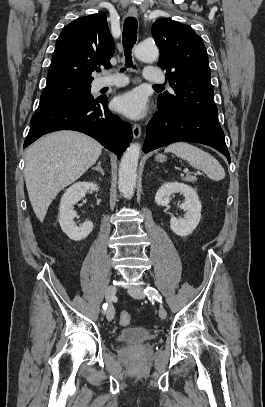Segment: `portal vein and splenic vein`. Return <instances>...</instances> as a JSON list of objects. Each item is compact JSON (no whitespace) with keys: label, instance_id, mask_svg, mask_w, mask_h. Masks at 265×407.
<instances>
[{"label":"portal vein and splenic vein","instance_id":"portal-vein-and-splenic-vein-1","mask_svg":"<svg viewBox=\"0 0 265 407\" xmlns=\"http://www.w3.org/2000/svg\"><path fill=\"white\" fill-rule=\"evenodd\" d=\"M187 172H188V169H185V170H184V173H187ZM197 174L200 175L201 173H200V172H197Z\"/></svg>","mask_w":265,"mask_h":407}]
</instances>
